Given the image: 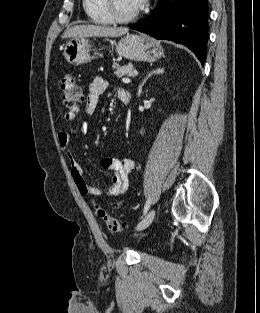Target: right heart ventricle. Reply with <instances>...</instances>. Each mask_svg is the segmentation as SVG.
<instances>
[{"instance_id": "right-heart-ventricle-1", "label": "right heart ventricle", "mask_w": 260, "mask_h": 313, "mask_svg": "<svg viewBox=\"0 0 260 313\" xmlns=\"http://www.w3.org/2000/svg\"><path fill=\"white\" fill-rule=\"evenodd\" d=\"M83 8L90 20L97 24H110L105 8L104 0H82Z\"/></svg>"}]
</instances>
